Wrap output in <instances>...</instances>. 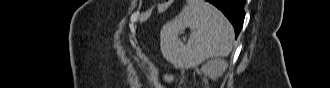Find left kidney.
<instances>
[{"label": "left kidney", "instance_id": "5707ae66", "mask_svg": "<svg viewBox=\"0 0 330 88\" xmlns=\"http://www.w3.org/2000/svg\"><path fill=\"white\" fill-rule=\"evenodd\" d=\"M228 63L223 59H214L208 61L201 68L202 73L207 75L210 79H218L227 69Z\"/></svg>", "mask_w": 330, "mask_h": 88}]
</instances>
